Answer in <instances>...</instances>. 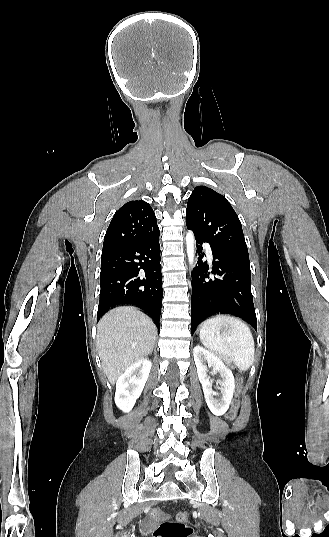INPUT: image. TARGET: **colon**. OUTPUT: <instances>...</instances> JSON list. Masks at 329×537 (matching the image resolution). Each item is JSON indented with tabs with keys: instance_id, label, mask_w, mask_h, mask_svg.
<instances>
[{
	"instance_id": "obj_1",
	"label": "colon",
	"mask_w": 329,
	"mask_h": 537,
	"mask_svg": "<svg viewBox=\"0 0 329 537\" xmlns=\"http://www.w3.org/2000/svg\"><path fill=\"white\" fill-rule=\"evenodd\" d=\"M237 384H242V376H237ZM239 394V389L236 395ZM239 400L236 397L232 403L230 410L227 413L229 420H234L237 415ZM155 519H164L169 516V513L164 510H155L152 513ZM190 514L188 511H181L176 515V521L164 519L154 530V537H190L193 534V527L189 524Z\"/></svg>"
}]
</instances>
